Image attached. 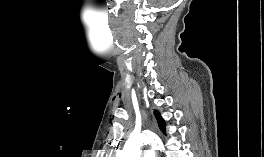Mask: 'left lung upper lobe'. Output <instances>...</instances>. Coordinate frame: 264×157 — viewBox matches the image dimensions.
<instances>
[{"label": "left lung upper lobe", "mask_w": 264, "mask_h": 157, "mask_svg": "<svg viewBox=\"0 0 264 157\" xmlns=\"http://www.w3.org/2000/svg\"><path fill=\"white\" fill-rule=\"evenodd\" d=\"M159 128L165 133V122L158 111H154Z\"/></svg>", "instance_id": "obj_1"}]
</instances>
